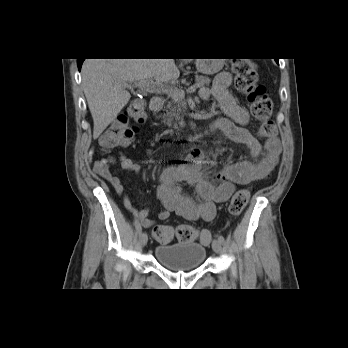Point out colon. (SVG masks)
<instances>
[{"instance_id": "1", "label": "colon", "mask_w": 348, "mask_h": 348, "mask_svg": "<svg viewBox=\"0 0 348 348\" xmlns=\"http://www.w3.org/2000/svg\"><path fill=\"white\" fill-rule=\"evenodd\" d=\"M236 88L245 95L251 114L260 123L257 134L260 138H270L275 134V125L271 119L273 101L267 95L265 88L258 84L254 63L249 58H238L232 63ZM147 115L142 101H133L125 114L118 117L102 134L100 145L104 149H111L129 144L136 132L137 125L145 123ZM108 161L109 158H105ZM250 194L246 189L238 190L231 198L229 213L233 217L239 216L248 203ZM155 240L168 243L174 237L181 242H191L197 238L203 244H209L212 234L208 230L198 231L187 224L175 228L168 225H155L152 228Z\"/></svg>"}]
</instances>
